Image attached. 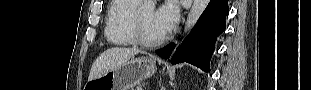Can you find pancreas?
<instances>
[{
  "label": "pancreas",
  "instance_id": "cf45deb5",
  "mask_svg": "<svg viewBox=\"0 0 311 90\" xmlns=\"http://www.w3.org/2000/svg\"><path fill=\"white\" fill-rule=\"evenodd\" d=\"M136 90H141V88H140V87H137Z\"/></svg>",
  "mask_w": 311,
  "mask_h": 90
}]
</instances>
